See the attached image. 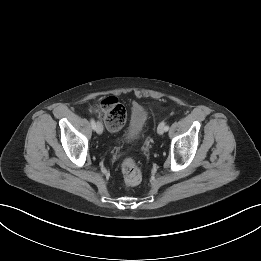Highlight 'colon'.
Segmentation results:
<instances>
[{
	"mask_svg": "<svg viewBox=\"0 0 261 261\" xmlns=\"http://www.w3.org/2000/svg\"><path fill=\"white\" fill-rule=\"evenodd\" d=\"M110 130H119L126 121V109L115 97L103 99L95 108ZM121 173L127 186H136L142 180V173L134 160L127 158L122 162Z\"/></svg>",
	"mask_w": 261,
	"mask_h": 261,
	"instance_id": "1",
	"label": "colon"
}]
</instances>
